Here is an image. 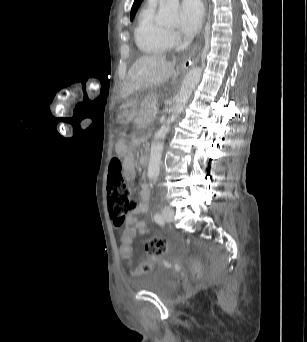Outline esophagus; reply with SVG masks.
<instances>
[{"instance_id": "1", "label": "esophagus", "mask_w": 307, "mask_h": 342, "mask_svg": "<svg viewBox=\"0 0 307 342\" xmlns=\"http://www.w3.org/2000/svg\"><path fill=\"white\" fill-rule=\"evenodd\" d=\"M206 3V0H205ZM201 47L202 45H197L195 48L192 49V51L189 53V55L185 58L186 62H191V64H194L201 53Z\"/></svg>"}]
</instances>
